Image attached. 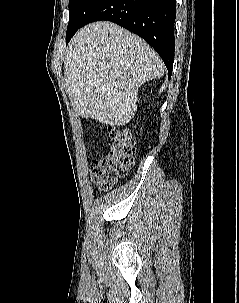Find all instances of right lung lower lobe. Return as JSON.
I'll use <instances>...</instances> for the list:
<instances>
[{
  "label": "right lung lower lobe",
  "instance_id": "98d812e1",
  "mask_svg": "<svg viewBox=\"0 0 239 303\" xmlns=\"http://www.w3.org/2000/svg\"><path fill=\"white\" fill-rule=\"evenodd\" d=\"M176 0H105L85 21H112L144 38L163 59L170 79L174 62Z\"/></svg>",
  "mask_w": 239,
  "mask_h": 303
}]
</instances>
